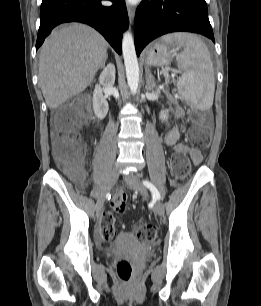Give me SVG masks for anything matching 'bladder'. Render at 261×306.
<instances>
[{
    "label": "bladder",
    "instance_id": "31cf9c89",
    "mask_svg": "<svg viewBox=\"0 0 261 306\" xmlns=\"http://www.w3.org/2000/svg\"><path fill=\"white\" fill-rule=\"evenodd\" d=\"M130 239H131L130 234H128V233H121L119 235V241H118L119 250L126 251V248L128 246V240H130Z\"/></svg>",
    "mask_w": 261,
    "mask_h": 306
}]
</instances>
